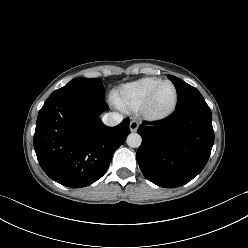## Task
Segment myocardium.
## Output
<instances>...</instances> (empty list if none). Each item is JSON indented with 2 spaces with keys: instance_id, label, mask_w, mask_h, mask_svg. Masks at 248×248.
<instances>
[{
  "instance_id": "f54148a6",
  "label": "myocardium",
  "mask_w": 248,
  "mask_h": 248,
  "mask_svg": "<svg viewBox=\"0 0 248 248\" xmlns=\"http://www.w3.org/2000/svg\"><path fill=\"white\" fill-rule=\"evenodd\" d=\"M164 84L171 85L173 90H174L173 103H172L171 107L163 113H159V114L151 113L149 110V107H150V104L152 102V99H153L155 93L157 92V90ZM178 97H179V95H178V89H177L176 85L170 80H161L147 93V95L145 96V98L143 99V101L139 107V113L147 121L159 122V121L165 120L168 117H170L174 113V111L176 110V107L178 104Z\"/></svg>"
}]
</instances>
